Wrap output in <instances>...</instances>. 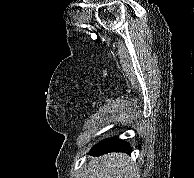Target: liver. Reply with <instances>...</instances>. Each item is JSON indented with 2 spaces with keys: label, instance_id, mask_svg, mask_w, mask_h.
<instances>
[{
  "label": "liver",
  "instance_id": "liver-1",
  "mask_svg": "<svg viewBox=\"0 0 194 178\" xmlns=\"http://www.w3.org/2000/svg\"><path fill=\"white\" fill-rule=\"evenodd\" d=\"M133 164L124 153H110L93 161L88 178H134Z\"/></svg>",
  "mask_w": 194,
  "mask_h": 178
}]
</instances>
